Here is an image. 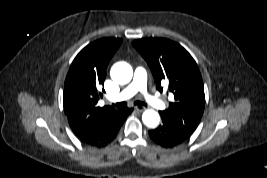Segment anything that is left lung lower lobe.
Here are the masks:
<instances>
[{"label": "left lung lower lobe", "mask_w": 267, "mask_h": 178, "mask_svg": "<svg viewBox=\"0 0 267 178\" xmlns=\"http://www.w3.org/2000/svg\"><path fill=\"white\" fill-rule=\"evenodd\" d=\"M162 125L150 130V138L158 145L165 148H172L186 141L190 135L185 133L172 120L162 117Z\"/></svg>", "instance_id": "0a47b994"}]
</instances>
